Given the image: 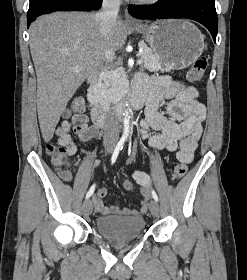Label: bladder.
<instances>
[{
    "mask_svg": "<svg viewBox=\"0 0 247 280\" xmlns=\"http://www.w3.org/2000/svg\"><path fill=\"white\" fill-rule=\"evenodd\" d=\"M97 232L112 241L122 242L137 239L145 231V220L141 217L102 216L95 221Z\"/></svg>",
    "mask_w": 247,
    "mask_h": 280,
    "instance_id": "obj_1",
    "label": "bladder"
}]
</instances>
